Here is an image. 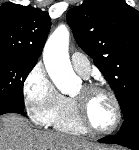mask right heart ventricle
I'll list each match as a JSON object with an SVG mask.
<instances>
[{
    "label": "right heart ventricle",
    "mask_w": 139,
    "mask_h": 150,
    "mask_svg": "<svg viewBox=\"0 0 139 150\" xmlns=\"http://www.w3.org/2000/svg\"><path fill=\"white\" fill-rule=\"evenodd\" d=\"M49 125L61 132L71 134L87 133L77 119L74 101L71 97L62 96L61 102L52 115Z\"/></svg>",
    "instance_id": "right-heart-ventricle-1"
}]
</instances>
